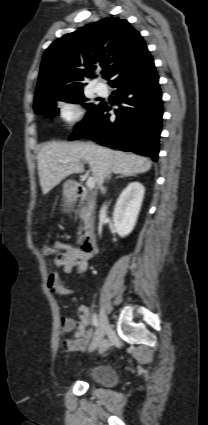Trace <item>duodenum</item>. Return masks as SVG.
Segmentation results:
<instances>
[{"mask_svg": "<svg viewBox=\"0 0 208 425\" xmlns=\"http://www.w3.org/2000/svg\"><path fill=\"white\" fill-rule=\"evenodd\" d=\"M70 189L78 200H83L85 196H88L87 188L80 183L71 184ZM84 216L87 217V207L84 209ZM81 249L88 255L96 253L97 240L96 235L93 231L88 230L85 233L82 239Z\"/></svg>", "mask_w": 208, "mask_h": 425, "instance_id": "duodenum-1", "label": "duodenum"}]
</instances>
